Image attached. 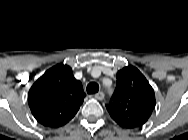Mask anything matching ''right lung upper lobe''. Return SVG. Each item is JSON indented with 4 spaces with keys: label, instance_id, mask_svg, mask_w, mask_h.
<instances>
[{
    "label": "right lung upper lobe",
    "instance_id": "1",
    "mask_svg": "<svg viewBox=\"0 0 188 140\" xmlns=\"http://www.w3.org/2000/svg\"><path fill=\"white\" fill-rule=\"evenodd\" d=\"M85 93L68 65L58 64L44 73L31 87L28 103L33 116L44 126L57 128L77 113Z\"/></svg>",
    "mask_w": 188,
    "mask_h": 140
}]
</instances>
